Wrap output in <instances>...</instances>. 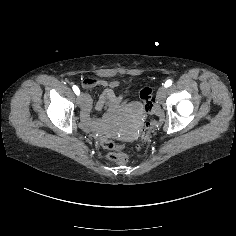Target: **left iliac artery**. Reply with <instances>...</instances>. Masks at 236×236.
I'll return each mask as SVG.
<instances>
[{
    "mask_svg": "<svg viewBox=\"0 0 236 236\" xmlns=\"http://www.w3.org/2000/svg\"><path fill=\"white\" fill-rule=\"evenodd\" d=\"M172 85V80H167L166 82H165V84H164V86L165 87H169V86H171Z\"/></svg>",
    "mask_w": 236,
    "mask_h": 236,
    "instance_id": "44dca946",
    "label": "left iliac artery"
}]
</instances>
